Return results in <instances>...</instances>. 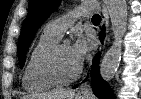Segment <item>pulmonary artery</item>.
Instances as JSON below:
<instances>
[{"instance_id": "e3ab8cb5", "label": "pulmonary artery", "mask_w": 141, "mask_h": 99, "mask_svg": "<svg viewBox=\"0 0 141 99\" xmlns=\"http://www.w3.org/2000/svg\"><path fill=\"white\" fill-rule=\"evenodd\" d=\"M95 11V6L90 3L82 4L55 20L50 21L44 28V31L56 38H61L65 30L71 26L74 21L81 16H90Z\"/></svg>"}]
</instances>
